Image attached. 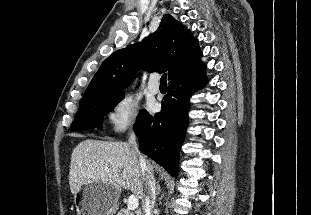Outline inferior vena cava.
Returning <instances> with one entry per match:
<instances>
[{
	"label": "inferior vena cava",
	"instance_id": "obj_1",
	"mask_svg": "<svg viewBox=\"0 0 311 215\" xmlns=\"http://www.w3.org/2000/svg\"><path fill=\"white\" fill-rule=\"evenodd\" d=\"M128 143L131 147L132 152L138 159V163L140 165L141 171L145 177V186L147 189V195L144 199L143 210L145 215H151V210L155 202L156 196V185L155 179L149 168L147 161L143 157V155L139 152L138 145L136 142V135L134 132L129 134Z\"/></svg>",
	"mask_w": 311,
	"mask_h": 215
}]
</instances>
